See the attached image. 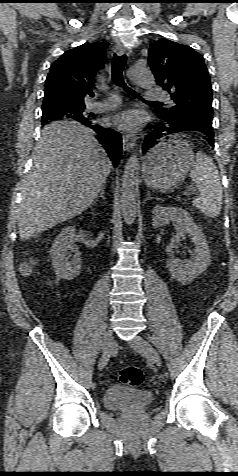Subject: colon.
Listing matches in <instances>:
<instances>
[{
	"label": "colon",
	"instance_id": "colon-1",
	"mask_svg": "<svg viewBox=\"0 0 238 476\" xmlns=\"http://www.w3.org/2000/svg\"><path fill=\"white\" fill-rule=\"evenodd\" d=\"M30 271H31L30 264L23 265L22 272L24 274H29ZM119 378L123 384L127 386L136 387L142 384L144 380V374L141 368L137 366H128L120 371Z\"/></svg>",
	"mask_w": 238,
	"mask_h": 476
}]
</instances>
